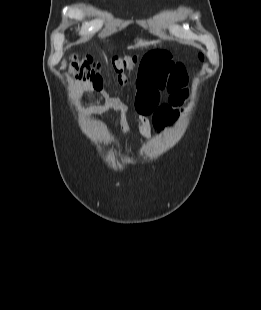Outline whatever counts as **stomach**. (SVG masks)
<instances>
[{
	"instance_id": "obj_1",
	"label": "stomach",
	"mask_w": 261,
	"mask_h": 310,
	"mask_svg": "<svg viewBox=\"0 0 261 310\" xmlns=\"http://www.w3.org/2000/svg\"><path fill=\"white\" fill-rule=\"evenodd\" d=\"M136 43H137V45H140V44L143 43V40H142V39H137V40H136Z\"/></svg>"
}]
</instances>
